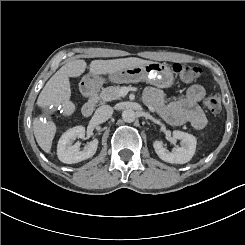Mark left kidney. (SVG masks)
Segmentation results:
<instances>
[{"mask_svg":"<svg viewBox=\"0 0 245 245\" xmlns=\"http://www.w3.org/2000/svg\"><path fill=\"white\" fill-rule=\"evenodd\" d=\"M174 140H182V146L176 147L172 151L167 150L161 143L156 142L154 149L157 155L165 162L174 164H184L189 162L196 151V138L189 133L174 130L172 133Z\"/></svg>","mask_w":245,"mask_h":245,"instance_id":"5707ae66","label":"left kidney"}]
</instances>
